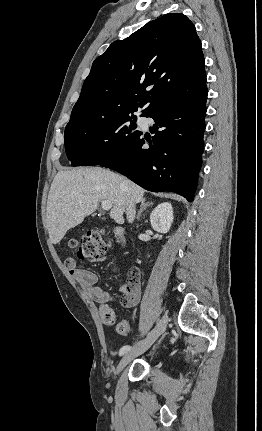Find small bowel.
<instances>
[{
	"label": "small bowel",
	"mask_w": 262,
	"mask_h": 431,
	"mask_svg": "<svg viewBox=\"0 0 262 431\" xmlns=\"http://www.w3.org/2000/svg\"><path fill=\"white\" fill-rule=\"evenodd\" d=\"M65 266L83 288L86 295L99 304L100 313H110L115 320L116 315L110 305L111 298L104 289L99 286L97 275L88 269L77 267L76 261L73 258H67L65 260ZM120 291L123 295L122 303L128 307L135 306L141 298L139 279L131 277L121 286Z\"/></svg>",
	"instance_id": "small-bowel-1"
}]
</instances>
